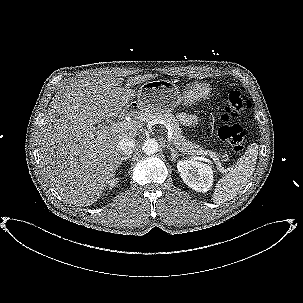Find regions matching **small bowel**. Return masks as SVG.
I'll return each instance as SVG.
<instances>
[{
	"label": "small bowel",
	"mask_w": 303,
	"mask_h": 303,
	"mask_svg": "<svg viewBox=\"0 0 303 303\" xmlns=\"http://www.w3.org/2000/svg\"><path fill=\"white\" fill-rule=\"evenodd\" d=\"M179 122L184 126H192L196 123V117L188 113H179L178 115Z\"/></svg>",
	"instance_id": "1"
}]
</instances>
